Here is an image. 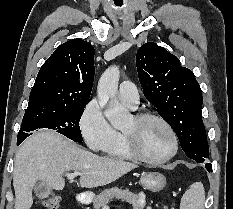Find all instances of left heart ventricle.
<instances>
[{
	"label": "left heart ventricle",
	"mask_w": 233,
	"mask_h": 209,
	"mask_svg": "<svg viewBox=\"0 0 233 209\" xmlns=\"http://www.w3.org/2000/svg\"><path fill=\"white\" fill-rule=\"evenodd\" d=\"M124 131L135 134L139 149L147 157L162 158L171 151L172 140L168 131L154 119L136 124L134 118H132Z\"/></svg>",
	"instance_id": "b2bd125f"
}]
</instances>
